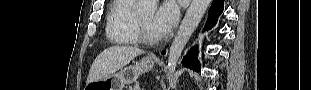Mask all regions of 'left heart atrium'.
<instances>
[{
  "label": "left heart atrium",
  "instance_id": "left-heart-atrium-1",
  "mask_svg": "<svg viewBox=\"0 0 311 90\" xmlns=\"http://www.w3.org/2000/svg\"><path fill=\"white\" fill-rule=\"evenodd\" d=\"M179 19V6L176 1L163 2L152 19V28L161 36L170 31Z\"/></svg>",
  "mask_w": 311,
  "mask_h": 90
}]
</instances>
